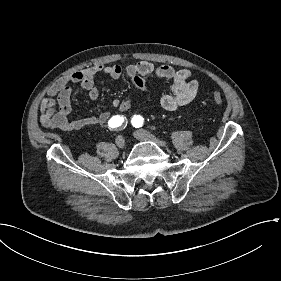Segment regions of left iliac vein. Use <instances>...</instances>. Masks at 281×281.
Listing matches in <instances>:
<instances>
[{
  "label": "left iliac vein",
  "mask_w": 281,
  "mask_h": 281,
  "mask_svg": "<svg viewBox=\"0 0 281 281\" xmlns=\"http://www.w3.org/2000/svg\"><path fill=\"white\" fill-rule=\"evenodd\" d=\"M134 137L140 141H152L161 147H167L165 141L156 138L153 134L142 129L137 130L134 133Z\"/></svg>",
  "instance_id": "1"
}]
</instances>
